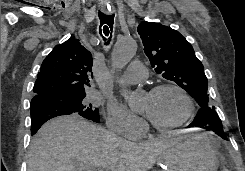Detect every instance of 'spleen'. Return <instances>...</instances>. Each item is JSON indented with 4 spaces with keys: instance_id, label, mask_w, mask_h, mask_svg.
<instances>
[{
    "instance_id": "spleen-1",
    "label": "spleen",
    "mask_w": 245,
    "mask_h": 171,
    "mask_svg": "<svg viewBox=\"0 0 245 171\" xmlns=\"http://www.w3.org/2000/svg\"><path fill=\"white\" fill-rule=\"evenodd\" d=\"M223 171H229L228 169L224 168Z\"/></svg>"
}]
</instances>
